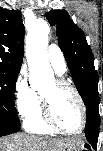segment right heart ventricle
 Wrapping results in <instances>:
<instances>
[{
	"label": "right heart ventricle",
	"mask_w": 103,
	"mask_h": 151,
	"mask_svg": "<svg viewBox=\"0 0 103 151\" xmlns=\"http://www.w3.org/2000/svg\"><path fill=\"white\" fill-rule=\"evenodd\" d=\"M25 128L36 134H53L55 131L51 130L43 120L42 115V103L39 98V102L33 111V113L25 119Z\"/></svg>",
	"instance_id": "right-heart-ventricle-1"
}]
</instances>
